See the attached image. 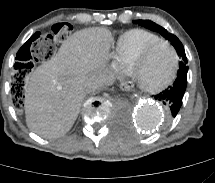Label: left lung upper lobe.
I'll list each match as a JSON object with an SVG mask.
<instances>
[{
    "label": "left lung upper lobe",
    "instance_id": "1",
    "mask_svg": "<svg viewBox=\"0 0 215 183\" xmlns=\"http://www.w3.org/2000/svg\"><path fill=\"white\" fill-rule=\"evenodd\" d=\"M133 22L137 23L143 27H146L152 31H156V32L160 33L165 39H168L172 43L174 48L176 49V51L181 59L180 67L185 66L187 64V58H186L184 47H183L182 43L180 42V40L175 35L169 33L166 29L155 24L154 22H152L150 20H136Z\"/></svg>",
    "mask_w": 215,
    "mask_h": 183
}]
</instances>
